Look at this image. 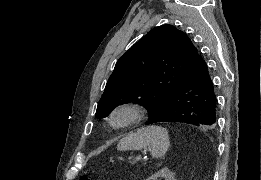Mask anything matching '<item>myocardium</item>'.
<instances>
[{
  "mask_svg": "<svg viewBox=\"0 0 261 180\" xmlns=\"http://www.w3.org/2000/svg\"><path fill=\"white\" fill-rule=\"evenodd\" d=\"M142 106L133 101H123L113 106L108 122L114 129H124L137 123L142 117Z\"/></svg>",
  "mask_w": 261,
  "mask_h": 180,
  "instance_id": "f54148a6",
  "label": "myocardium"
}]
</instances>
